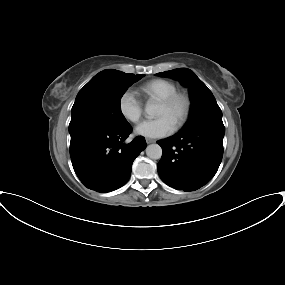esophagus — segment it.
<instances>
[{
  "instance_id": "1",
  "label": "esophagus",
  "mask_w": 285,
  "mask_h": 285,
  "mask_svg": "<svg viewBox=\"0 0 285 285\" xmlns=\"http://www.w3.org/2000/svg\"><path fill=\"white\" fill-rule=\"evenodd\" d=\"M146 142H147V144H150V143H154L155 140L154 139H150V138H146Z\"/></svg>"
}]
</instances>
